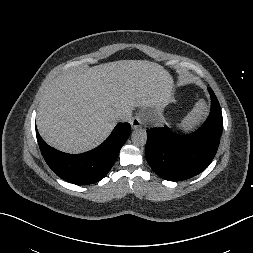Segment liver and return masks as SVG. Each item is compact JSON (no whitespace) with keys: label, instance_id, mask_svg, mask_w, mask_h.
Returning a JSON list of instances; mask_svg holds the SVG:
<instances>
[{"label":"liver","instance_id":"liver-1","mask_svg":"<svg viewBox=\"0 0 253 253\" xmlns=\"http://www.w3.org/2000/svg\"><path fill=\"white\" fill-rule=\"evenodd\" d=\"M174 81L161 65L119 60L71 69L51 82L37 110V128L54 148L72 154L100 145L117 114L134 106L160 107L170 100Z\"/></svg>","mask_w":253,"mask_h":253}]
</instances>
